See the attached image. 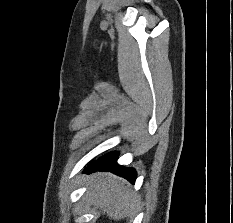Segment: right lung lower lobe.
<instances>
[{
    "instance_id": "98d812e1",
    "label": "right lung lower lobe",
    "mask_w": 233,
    "mask_h": 223,
    "mask_svg": "<svg viewBox=\"0 0 233 223\" xmlns=\"http://www.w3.org/2000/svg\"><path fill=\"white\" fill-rule=\"evenodd\" d=\"M117 157V152H111L99 158L97 161L91 162L84 172L90 173L98 170L113 171L114 173L128 179L131 183H134L136 178V171L132 168H124L119 166L116 163Z\"/></svg>"
}]
</instances>
